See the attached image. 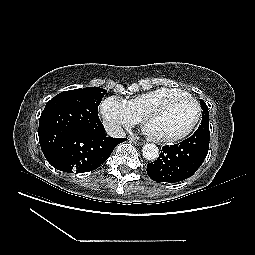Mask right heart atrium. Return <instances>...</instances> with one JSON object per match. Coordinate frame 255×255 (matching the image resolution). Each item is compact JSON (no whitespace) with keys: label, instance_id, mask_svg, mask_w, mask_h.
<instances>
[{"label":"right heart atrium","instance_id":"d8ad5b80","mask_svg":"<svg viewBox=\"0 0 255 255\" xmlns=\"http://www.w3.org/2000/svg\"><path fill=\"white\" fill-rule=\"evenodd\" d=\"M100 113L105 127L117 134L122 133L124 128H130L141 120L126 100L117 96L106 97L101 102Z\"/></svg>","mask_w":255,"mask_h":255}]
</instances>
